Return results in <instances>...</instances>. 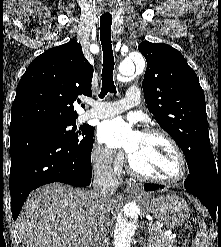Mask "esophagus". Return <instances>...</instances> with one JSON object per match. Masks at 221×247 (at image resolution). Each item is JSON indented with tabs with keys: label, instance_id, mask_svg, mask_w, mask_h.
Wrapping results in <instances>:
<instances>
[{
	"label": "esophagus",
	"instance_id": "obj_1",
	"mask_svg": "<svg viewBox=\"0 0 221 247\" xmlns=\"http://www.w3.org/2000/svg\"><path fill=\"white\" fill-rule=\"evenodd\" d=\"M126 190L127 192H134V193H139L141 191L140 188L135 184L127 185Z\"/></svg>",
	"mask_w": 221,
	"mask_h": 247
}]
</instances>
